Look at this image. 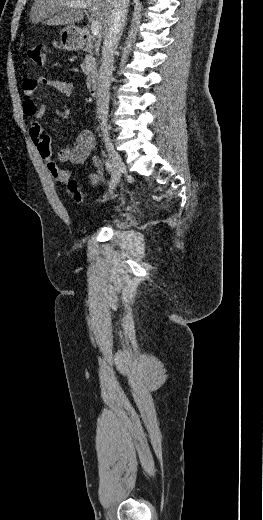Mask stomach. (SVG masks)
<instances>
[{"mask_svg": "<svg viewBox=\"0 0 263 520\" xmlns=\"http://www.w3.org/2000/svg\"><path fill=\"white\" fill-rule=\"evenodd\" d=\"M81 29L74 25H67L60 30V45L68 51H76L82 47Z\"/></svg>", "mask_w": 263, "mask_h": 520, "instance_id": "1", "label": "stomach"}]
</instances>
